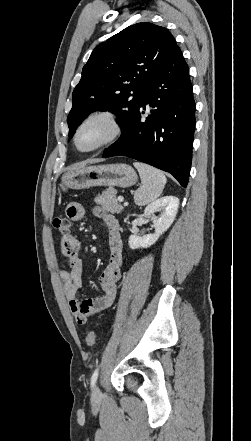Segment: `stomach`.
Masks as SVG:
<instances>
[{"instance_id": "0dacf381", "label": "stomach", "mask_w": 251, "mask_h": 441, "mask_svg": "<svg viewBox=\"0 0 251 441\" xmlns=\"http://www.w3.org/2000/svg\"><path fill=\"white\" fill-rule=\"evenodd\" d=\"M137 182L135 170L127 164H105L83 166L62 176L61 189H85L97 186H116L127 188Z\"/></svg>"}]
</instances>
